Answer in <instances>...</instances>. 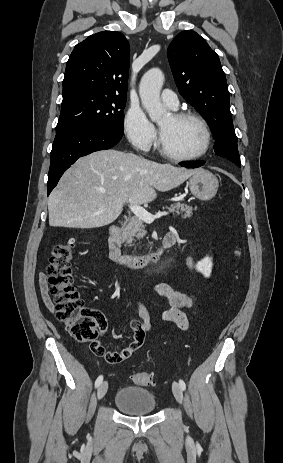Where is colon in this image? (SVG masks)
Segmentation results:
<instances>
[{
	"mask_svg": "<svg viewBox=\"0 0 283 463\" xmlns=\"http://www.w3.org/2000/svg\"><path fill=\"white\" fill-rule=\"evenodd\" d=\"M76 241L74 238L54 245L47 267L49 294L54 303L56 318L63 323L69 334L80 343H90L91 349L98 357L108 363L119 361L116 352L107 351L98 340L99 334L106 329L103 315L86 307L73 284L72 259ZM239 257L240 253L236 252ZM132 380L137 385H151L154 378L147 372H134Z\"/></svg>",
	"mask_w": 283,
	"mask_h": 463,
	"instance_id": "obj_1",
	"label": "colon"
}]
</instances>
